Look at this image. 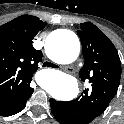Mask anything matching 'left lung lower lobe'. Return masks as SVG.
<instances>
[{
	"label": "left lung lower lobe",
	"mask_w": 124,
	"mask_h": 124,
	"mask_svg": "<svg viewBox=\"0 0 124 124\" xmlns=\"http://www.w3.org/2000/svg\"><path fill=\"white\" fill-rule=\"evenodd\" d=\"M50 105L51 111L58 122H60L61 124H72L67 114L65 102L50 99Z\"/></svg>",
	"instance_id": "obj_1"
}]
</instances>
